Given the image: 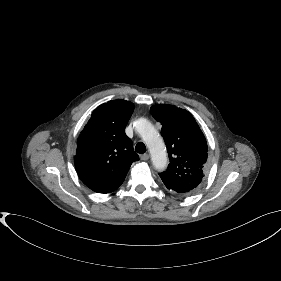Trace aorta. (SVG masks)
Segmentation results:
<instances>
[{
	"label": "aorta",
	"instance_id": "762f6f07",
	"mask_svg": "<svg viewBox=\"0 0 281 281\" xmlns=\"http://www.w3.org/2000/svg\"><path fill=\"white\" fill-rule=\"evenodd\" d=\"M135 128L149 148L154 167L157 170H164L167 166V151L158 131L144 118L135 122Z\"/></svg>",
	"mask_w": 281,
	"mask_h": 281
}]
</instances>
